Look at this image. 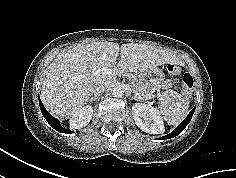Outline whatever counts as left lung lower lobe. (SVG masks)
<instances>
[{"label":"left lung lower lobe","mask_w":236,"mask_h":178,"mask_svg":"<svg viewBox=\"0 0 236 178\" xmlns=\"http://www.w3.org/2000/svg\"><path fill=\"white\" fill-rule=\"evenodd\" d=\"M194 111H195V108L191 110V112L188 114L186 119L175 130H173L170 134L161 137V139L173 138V137L177 136L178 134H180L185 129V127L188 125V123L190 122Z\"/></svg>","instance_id":"1"}]
</instances>
